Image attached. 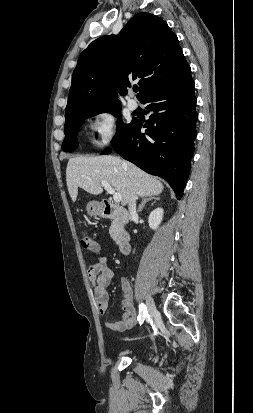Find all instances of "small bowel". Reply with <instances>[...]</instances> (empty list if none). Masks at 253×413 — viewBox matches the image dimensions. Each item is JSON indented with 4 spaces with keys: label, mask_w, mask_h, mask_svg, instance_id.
<instances>
[{
    "label": "small bowel",
    "mask_w": 253,
    "mask_h": 413,
    "mask_svg": "<svg viewBox=\"0 0 253 413\" xmlns=\"http://www.w3.org/2000/svg\"><path fill=\"white\" fill-rule=\"evenodd\" d=\"M113 276L114 272L105 257L98 258V260L88 269V277L93 284L95 303L99 313L102 315L108 310L109 296L107 293V287L109 286ZM121 287L123 290V318L120 321H108L105 323V327L114 332H124L132 329L137 321V313L134 306L132 285L130 280L126 277L122 278Z\"/></svg>",
    "instance_id": "c3829d8e"
}]
</instances>
